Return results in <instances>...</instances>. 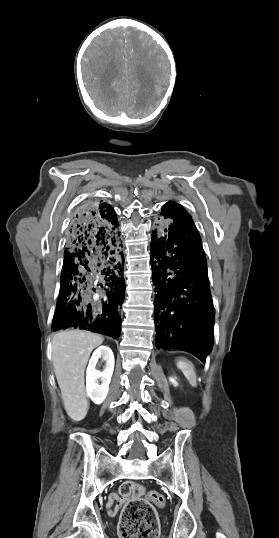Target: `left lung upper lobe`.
I'll return each instance as SVG.
<instances>
[{
  "mask_svg": "<svg viewBox=\"0 0 279 538\" xmlns=\"http://www.w3.org/2000/svg\"><path fill=\"white\" fill-rule=\"evenodd\" d=\"M162 213L163 219L165 220V224L173 223L177 221H185L193 223L190 215L186 212V210L179 204L168 202L162 207Z\"/></svg>",
  "mask_w": 279,
  "mask_h": 538,
  "instance_id": "1",
  "label": "left lung upper lobe"
}]
</instances>
